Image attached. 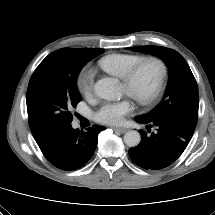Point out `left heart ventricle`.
<instances>
[{
	"mask_svg": "<svg viewBox=\"0 0 215 215\" xmlns=\"http://www.w3.org/2000/svg\"><path fill=\"white\" fill-rule=\"evenodd\" d=\"M158 77V68L155 64L145 65L138 74L134 83V91L142 96L148 95L154 88ZM123 90L127 92L123 85Z\"/></svg>",
	"mask_w": 215,
	"mask_h": 215,
	"instance_id": "1",
	"label": "left heart ventricle"
}]
</instances>
